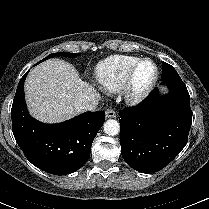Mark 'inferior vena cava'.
Masks as SVG:
<instances>
[{
	"mask_svg": "<svg viewBox=\"0 0 209 209\" xmlns=\"http://www.w3.org/2000/svg\"><path fill=\"white\" fill-rule=\"evenodd\" d=\"M99 101H100V97L99 96H96L94 97L91 102H87V103H83L81 104L79 107H78V110L79 111H90V112H93L96 110L98 104H99Z\"/></svg>",
	"mask_w": 209,
	"mask_h": 209,
	"instance_id": "1",
	"label": "inferior vena cava"
}]
</instances>
